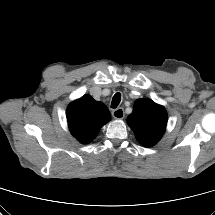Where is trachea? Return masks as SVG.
Wrapping results in <instances>:
<instances>
[{
  "mask_svg": "<svg viewBox=\"0 0 215 215\" xmlns=\"http://www.w3.org/2000/svg\"><path fill=\"white\" fill-rule=\"evenodd\" d=\"M120 101H121V94L116 93L112 98L111 107L116 108L119 105Z\"/></svg>",
  "mask_w": 215,
  "mask_h": 215,
  "instance_id": "1",
  "label": "trachea"
}]
</instances>
